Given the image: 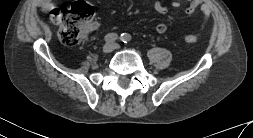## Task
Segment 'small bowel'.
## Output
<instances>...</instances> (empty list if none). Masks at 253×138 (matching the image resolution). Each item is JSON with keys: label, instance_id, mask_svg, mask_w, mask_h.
I'll return each mask as SVG.
<instances>
[{"label": "small bowel", "instance_id": "small-bowel-1", "mask_svg": "<svg viewBox=\"0 0 253 138\" xmlns=\"http://www.w3.org/2000/svg\"><path fill=\"white\" fill-rule=\"evenodd\" d=\"M38 8L41 9L42 11H47L49 9H51L54 5V0H39L38 1ZM201 8L203 16H204V20L202 23L201 28H203L208 20H209V16H210V8L205 5L202 4L201 0H189L188 5L182 9V11L187 14L190 15L192 13H194L196 11V9ZM154 8L157 12L159 13H166L168 11V7L161 1V0H155L154 1ZM172 8L175 10H179L181 9V4L179 1H173L172 2ZM98 23H92L91 24V29H96L98 28ZM168 29V26L166 23L164 22H160L155 26V32L158 34H164Z\"/></svg>", "mask_w": 253, "mask_h": 138}]
</instances>
